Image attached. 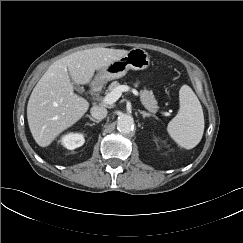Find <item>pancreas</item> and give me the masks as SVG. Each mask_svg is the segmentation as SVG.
I'll return each mask as SVG.
<instances>
[{
    "label": "pancreas",
    "mask_w": 243,
    "mask_h": 243,
    "mask_svg": "<svg viewBox=\"0 0 243 243\" xmlns=\"http://www.w3.org/2000/svg\"><path fill=\"white\" fill-rule=\"evenodd\" d=\"M120 83L118 81L112 82L108 86L107 92H112L115 88L119 87ZM140 99L142 104L151 112H156L158 109L157 101L154 97L153 91L144 88L140 91Z\"/></svg>",
    "instance_id": "pancreas-1"
}]
</instances>
